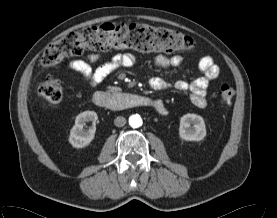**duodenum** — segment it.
I'll return each mask as SVG.
<instances>
[{
    "mask_svg": "<svg viewBox=\"0 0 277 218\" xmlns=\"http://www.w3.org/2000/svg\"><path fill=\"white\" fill-rule=\"evenodd\" d=\"M91 99L96 106L110 111H121L140 106L154 107L158 111V108L161 106V102L159 100H152L146 96L136 94H122L118 96H112L106 92L100 91L94 93ZM166 113L167 108L165 106V111L160 114Z\"/></svg>",
    "mask_w": 277,
    "mask_h": 218,
    "instance_id": "obj_1",
    "label": "duodenum"
}]
</instances>
